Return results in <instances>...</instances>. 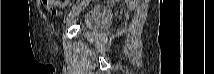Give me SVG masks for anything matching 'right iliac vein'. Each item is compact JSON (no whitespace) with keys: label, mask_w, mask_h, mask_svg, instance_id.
I'll return each mask as SVG.
<instances>
[{"label":"right iliac vein","mask_w":214,"mask_h":74,"mask_svg":"<svg viewBox=\"0 0 214 74\" xmlns=\"http://www.w3.org/2000/svg\"><path fill=\"white\" fill-rule=\"evenodd\" d=\"M87 3L84 1L80 3L79 5L72 8V10L68 14V19H73L77 17L80 12L86 7Z\"/></svg>","instance_id":"63e3f726"}]
</instances>
